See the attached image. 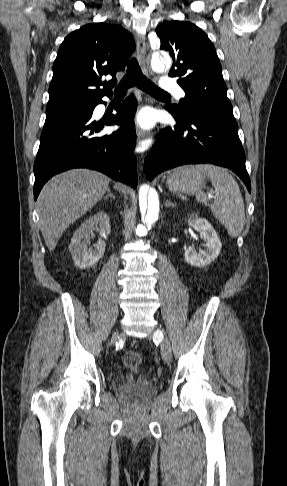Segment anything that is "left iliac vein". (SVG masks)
I'll use <instances>...</instances> for the list:
<instances>
[{
  "mask_svg": "<svg viewBox=\"0 0 287 486\" xmlns=\"http://www.w3.org/2000/svg\"><path fill=\"white\" fill-rule=\"evenodd\" d=\"M154 337L162 340L161 342L162 358L165 363H169L172 357L171 345L169 340L166 337H164L163 332L159 329L155 331Z\"/></svg>",
  "mask_w": 287,
  "mask_h": 486,
  "instance_id": "obj_1",
  "label": "left iliac vein"
}]
</instances>
